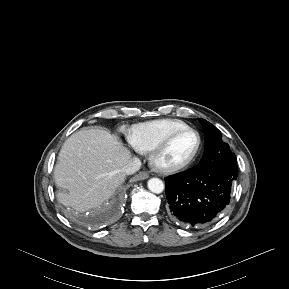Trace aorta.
Instances as JSON below:
<instances>
[{
	"label": "aorta",
	"instance_id": "aorta-1",
	"mask_svg": "<svg viewBox=\"0 0 289 289\" xmlns=\"http://www.w3.org/2000/svg\"><path fill=\"white\" fill-rule=\"evenodd\" d=\"M147 186L151 192L156 193V194H159V193L163 192V190H164V183L159 178L149 179Z\"/></svg>",
	"mask_w": 289,
	"mask_h": 289
}]
</instances>
